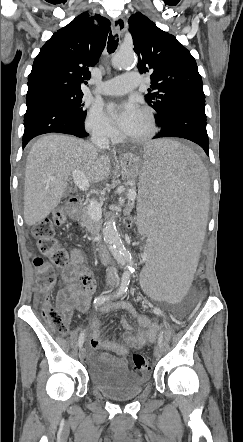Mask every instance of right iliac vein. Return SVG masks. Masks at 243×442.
<instances>
[{"label":"right iliac vein","instance_id":"1","mask_svg":"<svg viewBox=\"0 0 243 442\" xmlns=\"http://www.w3.org/2000/svg\"><path fill=\"white\" fill-rule=\"evenodd\" d=\"M106 290H107L106 292H110V291L112 290V288H111V287H107ZM79 357H80V359H82V360L86 357V350H85L84 347H80V350H79Z\"/></svg>","mask_w":243,"mask_h":442}]
</instances>
